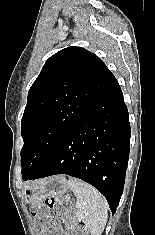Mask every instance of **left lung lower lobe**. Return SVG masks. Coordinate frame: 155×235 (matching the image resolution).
Segmentation results:
<instances>
[{
  "label": "left lung lower lobe",
  "instance_id": "obj_1",
  "mask_svg": "<svg viewBox=\"0 0 155 235\" xmlns=\"http://www.w3.org/2000/svg\"><path fill=\"white\" fill-rule=\"evenodd\" d=\"M130 135L128 110L114 77L44 166L23 180L56 174L77 177L99 190L114 214L123 193Z\"/></svg>",
  "mask_w": 155,
  "mask_h": 235
}]
</instances>
